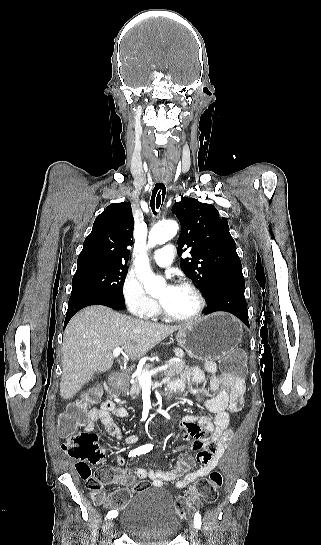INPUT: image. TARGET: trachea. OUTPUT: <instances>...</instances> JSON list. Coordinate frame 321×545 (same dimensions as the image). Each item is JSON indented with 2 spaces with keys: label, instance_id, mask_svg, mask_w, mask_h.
Returning a JSON list of instances; mask_svg holds the SVG:
<instances>
[{
  "label": "trachea",
  "instance_id": "trachea-1",
  "mask_svg": "<svg viewBox=\"0 0 321 545\" xmlns=\"http://www.w3.org/2000/svg\"><path fill=\"white\" fill-rule=\"evenodd\" d=\"M166 177L164 174H155L153 177V191L150 201V206L154 214L162 206V203L165 198L166 188H165Z\"/></svg>",
  "mask_w": 321,
  "mask_h": 545
}]
</instances>
